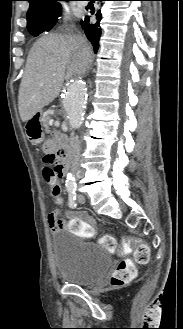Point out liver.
<instances>
[{
  "mask_svg": "<svg viewBox=\"0 0 183 329\" xmlns=\"http://www.w3.org/2000/svg\"><path fill=\"white\" fill-rule=\"evenodd\" d=\"M83 48L91 51L87 39L81 35L51 33L35 42L19 88L18 108L23 122L29 121L59 95L65 79L84 74L78 58Z\"/></svg>",
  "mask_w": 183,
  "mask_h": 329,
  "instance_id": "6515ba94",
  "label": "liver"
}]
</instances>
